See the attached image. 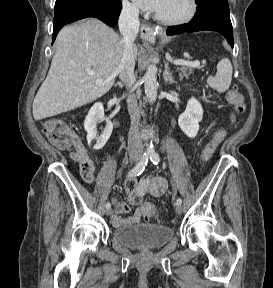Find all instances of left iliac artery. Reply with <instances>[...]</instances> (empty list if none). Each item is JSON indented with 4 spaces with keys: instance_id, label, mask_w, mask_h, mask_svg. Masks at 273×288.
Listing matches in <instances>:
<instances>
[{
    "instance_id": "44dca946",
    "label": "left iliac artery",
    "mask_w": 273,
    "mask_h": 288,
    "mask_svg": "<svg viewBox=\"0 0 273 288\" xmlns=\"http://www.w3.org/2000/svg\"><path fill=\"white\" fill-rule=\"evenodd\" d=\"M150 160H151V162H152L153 164L157 165V164L160 162V157H159V155H158L156 152H153V153H151V155H150ZM176 204H177V205H181V204H182L181 198H178V199L176 200Z\"/></svg>"
}]
</instances>
